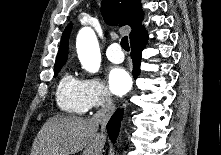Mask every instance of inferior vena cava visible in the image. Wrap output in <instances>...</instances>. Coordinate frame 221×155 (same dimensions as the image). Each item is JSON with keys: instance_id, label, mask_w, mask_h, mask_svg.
Listing matches in <instances>:
<instances>
[{"instance_id": "1", "label": "inferior vena cava", "mask_w": 221, "mask_h": 155, "mask_svg": "<svg viewBox=\"0 0 221 155\" xmlns=\"http://www.w3.org/2000/svg\"><path fill=\"white\" fill-rule=\"evenodd\" d=\"M115 111V104L112 100L110 92L106 93L105 102L93 116L92 120L101 125L102 131L105 129V126L110 119L111 115Z\"/></svg>"}]
</instances>
